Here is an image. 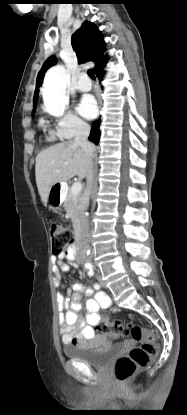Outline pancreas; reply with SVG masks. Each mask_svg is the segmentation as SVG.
Listing matches in <instances>:
<instances>
[{
    "label": "pancreas",
    "mask_w": 187,
    "mask_h": 415,
    "mask_svg": "<svg viewBox=\"0 0 187 415\" xmlns=\"http://www.w3.org/2000/svg\"><path fill=\"white\" fill-rule=\"evenodd\" d=\"M78 198L71 193V189L68 190L63 207L67 213L71 215L73 227L78 226L79 209Z\"/></svg>",
    "instance_id": "obj_1"
}]
</instances>
